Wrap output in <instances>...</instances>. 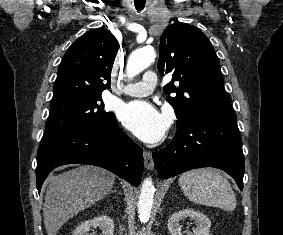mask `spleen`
I'll use <instances>...</instances> for the list:
<instances>
[{"mask_svg": "<svg viewBox=\"0 0 283 235\" xmlns=\"http://www.w3.org/2000/svg\"><path fill=\"white\" fill-rule=\"evenodd\" d=\"M184 195L193 203L218 207L226 211L236 208V197L228 180L214 169H196L183 173L179 180Z\"/></svg>", "mask_w": 283, "mask_h": 235, "instance_id": "1", "label": "spleen"}]
</instances>
